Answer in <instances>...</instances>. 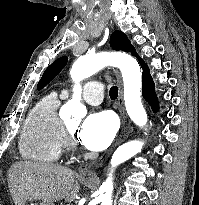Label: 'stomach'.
Masks as SVG:
<instances>
[{
	"mask_svg": "<svg viewBox=\"0 0 199 205\" xmlns=\"http://www.w3.org/2000/svg\"><path fill=\"white\" fill-rule=\"evenodd\" d=\"M32 201V200H30ZM31 205H36V204H31ZM39 205H53L52 203L49 202H41Z\"/></svg>",
	"mask_w": 199,
	"mask_h": 205,
	"instance_id": "1",
	"label": "stomach"
}]
</instances>
